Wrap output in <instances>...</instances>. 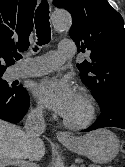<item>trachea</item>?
<instances>
[{"label":"trachea","mask_w":125,"mask_h":167,"mask_svg":"<svg viewBox=\"0 0 125 167\" xmlns=\"http://www.w3.org/2000/svg\"><path fill=\"white\" fill-rule=\"evenodd\" d=\"M36 33L38 37L37 45L46 44L50 41L51 27L49 22V5L46 0H42L35 14ZM38 47L34 48L37 51ZM16 60H20V54L14 55Z\"/></svg>","instance_id":"trachea-1"}]
</instances>
